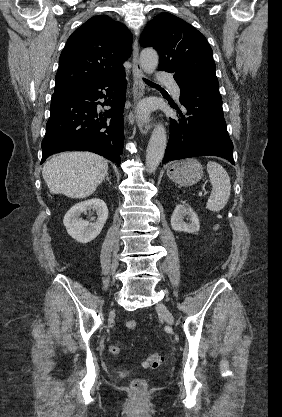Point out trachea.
<instances>
[{
    "mask_svg": "<svg viewBox=\"0 0 282 417\" xmlns=\"http://www.w3.org/2000/svg\"><path fill=\"white\" fill-rule=\"evenodd\" d=\"M144 82H146L148 85H156V83H153L152 81L148 79H144Z\"/></svg>",
    "mask_w": 282,
    "mask_h": 417,
    "instance_id": "trachea-1",
    "label": "trachea"
}]
</instances>
